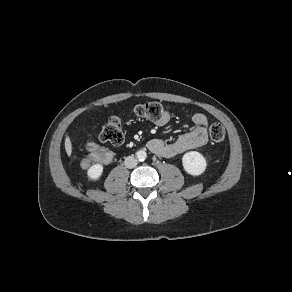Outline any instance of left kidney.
<instances>
[{"mask_svg": "<svg viewBox=\"0 0 292 292\" xmlns=\"http://www.w3.org/2000/svg\"><path fill=\"white\" fill-rule=\"evenodd\" d=\"M182 164L184 170L193 176L204 173L207 163L203 155L197 151H190L183 155Z\"/></svg>", "mask_w": 292, "mask_h": 292, "instance_id": "left-kidney-1", "label": "left kidney"}]
</instances>
